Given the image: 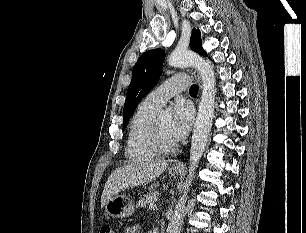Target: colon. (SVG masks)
Returning a JSON list of instances; mask_svg holds the SVG:
<instances>
[{
  "instance_id": "obj_1",
  "label": "colon",
  "mask_w": 306,
  "mask_h": 233,
  "mask_svg": "<svg viewBox=\"0 0 306 233\" xmlns=\"http://www.w3.org/2000/svg\"><path fill=\"white\" fill-rule=\"evenodd\" d=\"M100 233H115V229L111 224L105 223L101 226Z\"/></svg>"
}]
</instances>
